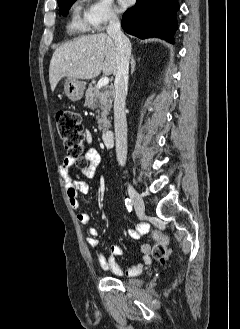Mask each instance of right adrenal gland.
Returning <instances> with one entry per match:
<instances>
[{
	"mask_svg": "<svg viewBox=\"0 0 240 329\" xmlns=\"http://www.w3.org/2000/svg\"><path fill=\"white\" fill-rule=\"evenodd\" d=\"M135 70V60L134 57L132 56L131 58V73H133Z\"/></svg>",
	"mask_w": 240,
	"mask_h": 329,
	"instance_id": "obj_1",
	"label": "right adrenal gland"
}]
</instances>
